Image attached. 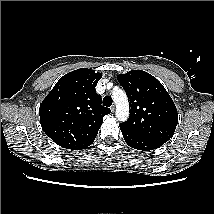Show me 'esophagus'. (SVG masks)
<instances>
[{"label": "esophagus", "mask_w": 214, "mask_h": 214, "mask_svg": "<svg viewBox=\"0 0 214 214\" xmlns=\"http://www.w3.org/2000/svg\"><path fill=\"white\" fill-rule=\"evenodd\" d=\"M110 109H111V112L114 113L116 108L114 105H112Z\"/></svg>", "instance_id": "esophagus-1"}]
</instances>
